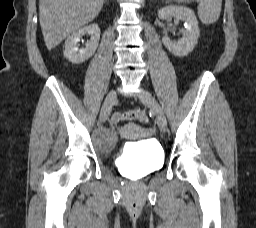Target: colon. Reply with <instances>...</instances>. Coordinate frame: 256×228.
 <instances>
[{
	"label": "colon",
	"mask_w": 256,
	"mask_h": 228,
	"mask_svg": "<svg viewBox=\"0 0 256 228\" xmlns=\"http://www.w3.org/2000/svg\"><path fill=\"white\" fill-rule=\"evenodd\" d=\"M124 120L146 123L147 116L144 111L139 109H135L127 112H117V113H114L112 116V123L115 125Z\"/></svg>",
	"instance_id": "colon-1"
}]
</instances>
